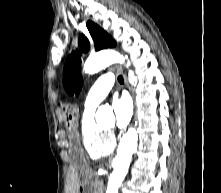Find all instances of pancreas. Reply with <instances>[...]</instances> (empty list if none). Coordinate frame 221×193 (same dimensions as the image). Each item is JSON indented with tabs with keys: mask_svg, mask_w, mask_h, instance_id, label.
<instances>
[{
	"mask_svg": "<svg viewBox=\"0 0 221 193\" xmlns=\"http://www.w3.org/2000/svg\"><path fill=\"white\" fill-rule=\"evenodd\" d=\"M94 193H102L101 181L96 178L93 182Z\"/></svg>",
	"mask_w": 221,
	"mask_h": 193,
	"instance_id": "cf45deb5",
	"label": "pancreas"
}]
</instances>
